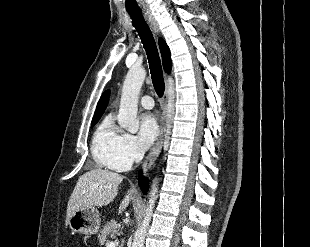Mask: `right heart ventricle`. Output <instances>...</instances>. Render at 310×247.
<instances>
[{"label":"right heart ventricle","mask_w":310,"mask_h":247,"mask_svg":"<svg viewBox=\"0 0 310 247\" xmlns=\"http://www.w3.org/2000/svg\"><path fill=\"white\" fill-rule=\"evenodd\" d=\"M120 137L121 132L114 124L112 116H105L96 128L91 142L92 156L99 166L117 170L113 160Z\"/></svg>","instance_id":"1"}]
</instances>
